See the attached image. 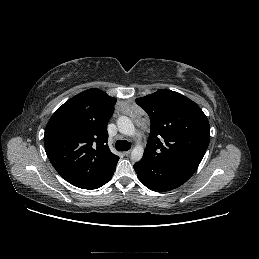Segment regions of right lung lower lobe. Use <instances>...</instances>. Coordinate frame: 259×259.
Returning <instances> with one entry per match:
<instances>
[{
  "label": "right lung lower lobe",
  "mask_w": 259,
  "mask_h": 259,
  "mask_svg": "<svg viewBox=\"0 0 259 259\" xmlns=\"http://www.w3.org/2000/svg\"><path fill=\"white\" fill-rule=\"evenodd\" d=\"M114 171H115V169L113 171H111L104 178H102V179H100V180H98V181H96V182H94V183H92L90 185H87V186H84V187H80V188H82V189H97V188L103 186L104 184H106L107 182H109L111 180V177L113 176Z\"/></svg>",
  "instance_id": "1"
}]
</instances>
